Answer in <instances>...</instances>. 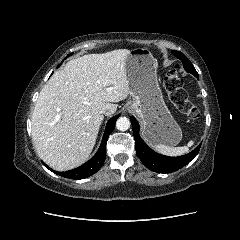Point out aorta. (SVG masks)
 <instances>
[{"instance_id": "1", "label": "aorta", "mask_w": 240, "mask_h": 240, "mask_svg": "<svg viewBox=\"0 0 240 240\" xmlns=\"http://www.w3.org/2000/svg\"><path fill=\"white\" fill-rule=\"evenodd\" d=\"M116 128L120 131H126L130 128V120L127 117H120L116 121Z\"/></svg>"}]
</instances>
